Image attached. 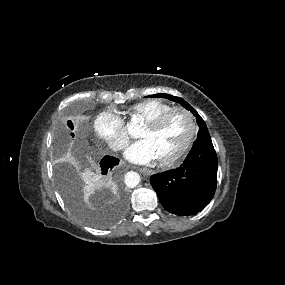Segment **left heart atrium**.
I'll use <instances>...</instances> for the list:
<instances>
[{"label": "left heart atrium", "mask_w": 285, "mask_h": 285, "mask_svg": "<svg viewBox=\"0 0 285 285\" xmlns=\"http://www.w3.org/2000/svg\"><path fill=\"white\" fill-rule=\"evenodd\" d=\"M126 159L137 164H148L158 159L157 152L147 139L131 144L124 153Z\"/></svg>", "instance_id": "left-heart-atrium-1"}]
</instances>
